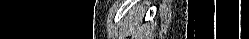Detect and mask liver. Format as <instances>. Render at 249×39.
<instances>
[{
    "mask_svg": "<svg viewBox=\"0 0 249 39\" xmlns=\"http://www.w3.org/2000/svg\"><path fill=\"white\" fill-rule=\"evenodd\" d=\"M140 22V18H137L135 25H137Z\"/></svg>",
    "mask_w": 249,
    "mask_h": 39,
    "instance_id": "1",
    "label": "liver"
}]
</instances>
